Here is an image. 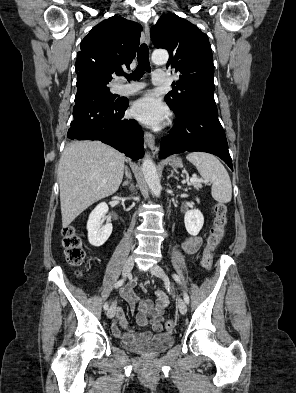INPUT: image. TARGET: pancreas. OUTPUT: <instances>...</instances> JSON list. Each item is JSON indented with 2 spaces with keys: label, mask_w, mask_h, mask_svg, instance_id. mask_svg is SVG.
<instances>
[{
  "label": "pancreas",
  "mask_w": 296,
  "mask_h": 393,
  "mask_svg": "<svg viewBox=\"0 0 296 393\" xmlns=\"http://www.w3.org/2000/svg\"><path fill=\"white\" fill-rule=\"evenodd\" d=\"M188 185L193 186L195 189L199 190L200 188H202V184L201 182H188Z\"/></svg>",
  "instance_id": "1"
}]
</instances>
